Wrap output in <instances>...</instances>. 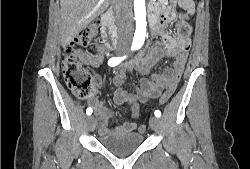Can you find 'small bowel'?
<instances>
[{
	"mask_svg": "<svg viewBox=\"0 0 250 169\" xmlns=\"http://www.w3.org/2000/svg\"><path fill=\"white\" fill-rule=\"evenodd\" d=\"M186 13L182 14V18H187L193 13L192 10H186ZM171 10H161L159 12L150 13L151 20L163 19L169 17ZM189 32L185 35H181L175 42L170 43L167 47H162L159 41L155 42L151 49L144 53L138 54L132 61L126 63L112 78V83L116 87L114 92V103L116 105H128L130 107V113L132 111V103H146L150 99H157L160 95V91L163 89H176L165 88V83L178 84L181 79L185 63L187 60L188 49L190 41L188 39ZM77 54L81 57L84 63L92 66H99L105 59L104 52L88 53L78 51ZM172 58V63L162 70L153 72V67L163 58ZM132 70L138 71L140 74L146 76L143 77L139 85L136 86V94H130L122 88L126 74ZM93 84L99 88L102 85L101 77L97 73L92 74ZM88 104L94 109L95 115L99 121V132L101 135L108 133V121L113 116V112L108 109L104 101L92 97L88 100ZM136 116L132 115V121L126 122L121 126L114 127L112 129L115 133H130L136 127Z\"/></svg>",
	"mask_w": 250,
	"mask_h": 169,
	"instance_id": "c3829d8e",
	"label": "small bowel"
}]
</instances>
